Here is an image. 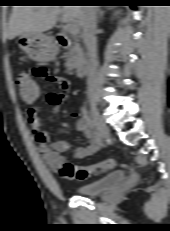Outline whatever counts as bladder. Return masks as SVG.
I'll return each instance as SVG.
<instances>
[{"label":"bladder","instance_id":"1","mask_svg":"<svg viewBox=\"0 0 170 231\" xmlns=\"http://www.w3.org/2000/svg\"><path fill=\"white\" fill-rule=\"evenodd\" d=\"M125 180L126 173L124 171H114L100 179L79 186L77 193L83 196H97L116 188Z\"/></svg>","mask_w":170,"mask_h":231}]
</instances>
